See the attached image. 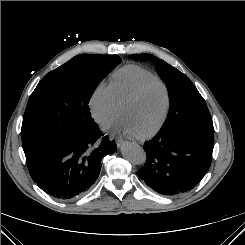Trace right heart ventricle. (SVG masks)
Listing matches in <instances>:
<instances>
[{
    "instance_id": "e07e8e85",
    "label": "right heart ventricle",
    "mask_w": 245,
    "mask_h": 245,
    "mask_svg": "<svg viewBox=\"0 0 245 245\" xmlns=\"http://www.w3.org/2000/svg\"><path fill=\"white\" fill-rule=\"evenodd\" d=\"M152 77L155 75L151 71L134 64L115 70L110 76V86L117 103L120 104L142 81Z\"/></svg>"
}]
</instances>
